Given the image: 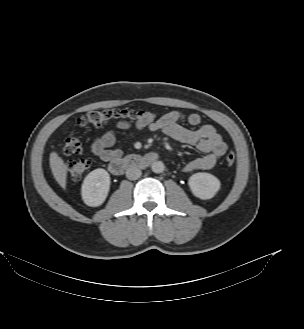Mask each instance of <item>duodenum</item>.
Masks as SVG:
<instances>
[{
  "mask_svg": "<svg viewBox=\"0 0 304 329\" xmlns=\"http://www.w3.org/2000/svg\"><path fill=\"white\" fill-rule=\"evenodd\" d=\"M158 159V154L149 152L143 155L131 153L124 158L112 160L109 164V171L116 176L124 173L128 168L145 167L154 163Z\"/></svg>",
  "mask_w": 304,
  "mask_h": 329,
  "instance_id": "1",
  "label": "duodenum"
}]
</instances>
